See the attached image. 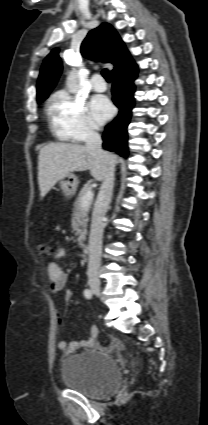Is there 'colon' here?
<instances>
[{"label": "colon", "instance_id": "5ec220e1", "mask_svg": "<svg viewBox=\"0 0 208 425\" xmlns=\"http://www.w3.org/2000/svg\"><path fill=\"white\" fill-rule=\"evenodd\" d=\"M38 249L43 256H50L53 254V249L47 244H40Z\"/></svg>", "mask_w": 208, "mask_h": 425}]
</instances>
